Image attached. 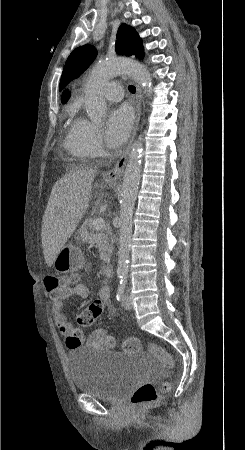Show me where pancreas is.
I'll return each mask as SVG.
<instances>
[{
	"instance_id": "1",
	"label": "pancreas",
	"mask_w": 245,
	"mask_h": 450,
	"mask_svg": "<svg viewBox=\"0 0 245 450\" xmlns=\"http://www.w3.org/2000/svg\"><path fill=\"white\" fill-rule=\"evenodd\" d=\"M93 220L94 218H86L78 232L84 242H88L91 245L97 244L100 259L106 262L110 259L113 250L111 228L104 227L98 232H95Z\"/></svg>"
}]
</instances>
